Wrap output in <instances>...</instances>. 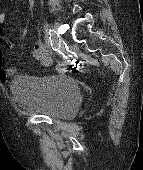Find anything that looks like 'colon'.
I'll return each mask as SVG.
<instances>
[{
	"label": "colon",
	"mask_w": 143,
	"mask_h": 170,
	"mask_svg": "<svg viewBox=\"0 0 143 170\" xmlns=\"http://www.w3.org/2000/svg\"><path fill=\"white\" fill-rule=\"evenodd\" d=\"M65 68H66L65 65H61V66H60V69H65Z\"/></svg>",
	"instance_id": "obj_1"
}]
</instances>
